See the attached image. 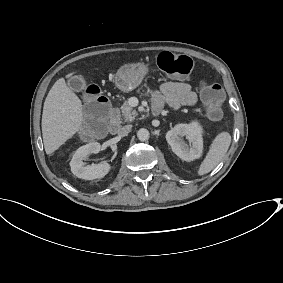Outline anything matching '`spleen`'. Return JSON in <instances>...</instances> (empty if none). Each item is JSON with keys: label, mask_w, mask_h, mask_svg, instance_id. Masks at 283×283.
<instances>
[{"label": "spleen", "mask_w": 283, "mask_h": 283, "mask_svg": "<svg viewBox=\"0 0 283 283\" xmlns=\"http://www.w3.org/2000/svg\"><path fill=\"white\" fill-rule=\"evenodd\" d=\"M231 143V136L228 132H221L213 140L209 152L200 165L199 175H204L213 170L227 153Z\"/></svg>", "instance_id": "1"}]
</instances>
